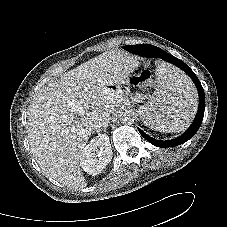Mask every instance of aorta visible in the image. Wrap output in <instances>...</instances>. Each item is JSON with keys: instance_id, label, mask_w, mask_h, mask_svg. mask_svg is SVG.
I'll use <instances>...</instances> for the list:
<instances>
[{"instance_id": "obj_1", "label": "aorta", "mask_w": 227, "mask_h": 227, "mask_svg": "<svg viewBox=\"0 0 227 227\" xmlns=\"http://www.w3.org/2000/svg\"><path fill=\"white\" fill-rule=\"evenodd\" d=\"M119 120L123 124H132L135 120V113L132 110H122L119 113Z\"/></svg>"}]
</instances>
